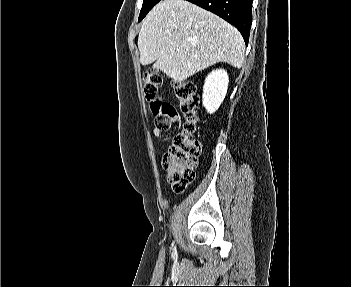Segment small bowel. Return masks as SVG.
I'll return each instance as SVG.
<instances>
[{
  "label": "small bowel",
  "mask_w": 351,
  "mask_h": 287,
  "mask_svg": "<svg viewBox=\"0 0 351 287\" xmlns=\"http://www.w3.org/2000/svg\"><path fill=\"white\" fill-rule=\"evenodd\" d=\"M180 121H181L180 116H179V115H176V116L172 119V124H173V125H177V124L180 123ZM152 134H153L154 136H156V137H166V136H167V134H166L164 131H161V130H159L158 128H154V129L152 130Z\"/></svg>",
  "instance_id": "1"
}]
</instances>
